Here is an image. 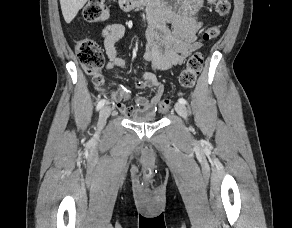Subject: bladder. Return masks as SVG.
I'll return each instance as SVG.
<instances>
[{"mask_svg":"<svg viewBox=\"0 0 292 228\" xmlns=\"http://www.w3.org/2000/svg\"><path fill=\"white\" fill-rule=\"evenodd\" d=\"M131 120L136 123H153L157 121V118L154 116L134 115Z\"/></svg>","mask_w":292,"mask_h":228,"instance_id":"obj_1","label":"bladder"}]
</instances>
